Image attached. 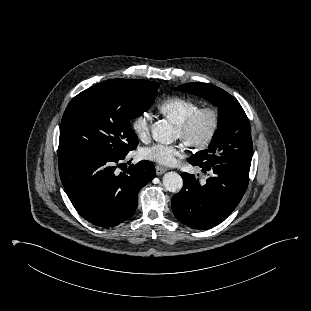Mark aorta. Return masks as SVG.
Listing matches in <instances>:
<instances>
[{"instance_id": "1", "label": "aorta", "mask_w": 311, "mask_h": 311, "mask_svg": "<svg viewBox=\"0 0 311 311\" xmlns=\"http://www.w3.org/2000/svg\"><path fill=\"white\" fill-rule=\"evenodd\" d=\"M152 138L162 144H170L175 140L173 126L167 121H159L152 128ZM163 185L167 191L175 193L182 189V177L176 172H167L163 176Z\"/></svg>"}]
</instances>
